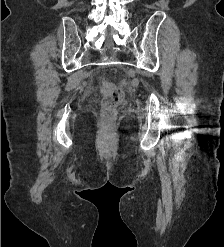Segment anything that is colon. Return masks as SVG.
<instances>
[{
  "instance_id": "obj_1",
  "label": "colon",
  "mask_w": 224,
  "mask_h": 247,
  "mask_svg": "<svg viewBox=\"0 0 224 247\" xmlns=\"http://www.w3.org/2000/svg\"><path fill=\"white\" fill-rule=\"evenodd\" d=\"M101 91L103 94V114L107 119L114 118L116 108L123 100L122 89L109 81L102 83Z\"/></svg>"
}]
</instances>
